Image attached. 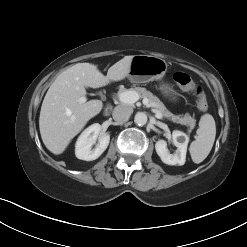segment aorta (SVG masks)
I'll use <instances>...</instances> for the list:
<instances>
[{
  "instance_id": "1",
  "label": "aorta",
  "mask_w": 247,
  "mask_h": 247,
  "mask_svg": "<svg viewBox=\"0 0 247 247\" xmlns=\"http://www.w3.org/2000/svg\"><path fill=\"white\" fill-rule=\"evenodd\" d=\"M134 122L138 125H145L147 123V115L144 112H138L135 115Z\"/></svg>"
}]
</instances>
